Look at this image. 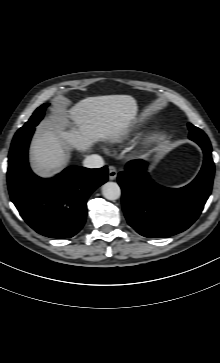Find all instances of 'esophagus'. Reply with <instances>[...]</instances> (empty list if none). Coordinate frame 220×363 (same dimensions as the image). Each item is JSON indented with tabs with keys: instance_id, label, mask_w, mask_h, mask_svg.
<instances>
[{
	"instance_id": "34e87169",
	"label": "esophagus",
	"mask_w": 220,
	"mask_h": 363,
	"mask_svg": "<svg viewBox=\"0 0 220 363\" xmlns=\"http://www.w3.org/2000/svg\"><path fill=\"white\" fill-rule=\"evenodd\" d=\"M109 179L110 180H115L117 177V170L114 166H109Z\"/></svg>"
}]
</instances>
